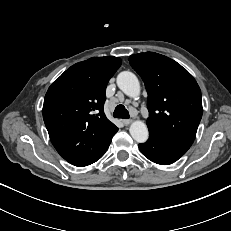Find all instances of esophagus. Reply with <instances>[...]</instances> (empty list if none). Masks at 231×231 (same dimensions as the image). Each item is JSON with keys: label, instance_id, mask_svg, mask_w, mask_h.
<instances>
[{"label": "esophagus", "instance_id": "34e87169", "mask_svg": "<svg viewBox=\"0 0 231 231\" xmlns=\"http://www.w3.org/2000/svg\"><path fill=\"white\" fill-rule=\"evenodd\" d=\"M122 122H123L125 125H129V124H131L132 120H131V119H124Z\"/></svg>", "mask_w": 231, "mask_h": 231}]
</instances>
